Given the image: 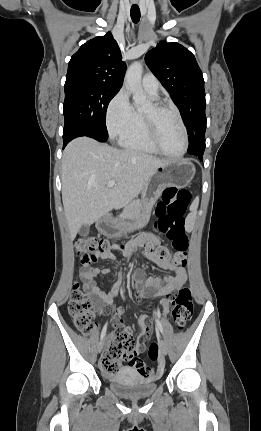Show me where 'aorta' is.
<instances>
[{
  "mask_svg": "<svg viewBox=\"0 0 261 431\" xmlns=\"http://www.w3.org/2000/svg\"><path fill=\"white\" fill-rule=\"evenodd\" d=\"M143 67L140 62L130 65L125 76V84L132 93V98L136 107L147 104V96L141 85Z\"/></svg>",
  "mask_w": 261,
  "mask_h": 431,
  "instance_id": "762f6f07",
  "label": "aorta"
}]
</instances>
